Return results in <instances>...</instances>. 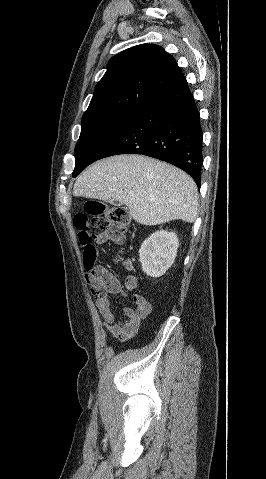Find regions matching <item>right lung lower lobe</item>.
I'll return each instance as SVG.
<instances>
[{"label":"right lung lower lobe","mask_w":266,"mask_h":479,"mask_svg":"<svg viewBox=\"0 0 266 479\" xmlns=\"http://www.w3.org/2000/svg\"><path fill=\"white\" fill-rule=\"evenodd\" d=\"M202 138L199 111L184 83L144 107L96 160L126 153L150 156L184 170L200 188Z\"/></svg>","instance_id":"1"}]
</instances>
